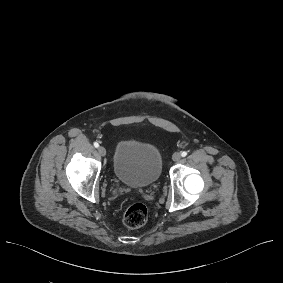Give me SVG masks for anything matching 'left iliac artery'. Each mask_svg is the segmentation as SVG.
I'll use <instances>...</instances> for the list:
<instances>
[{"label":"left iliac artery","mask_w":283,"mask_h":283,"mask_svg":"<svg viewBox=\"0 0 283 283\" xmlns=\"http://www.w3.org/2000/svg\"><path fill=\"white\" fill-rule=\"evenodd\" d=\"M187 155V152L186 151H183L182 153H181V156L182 157H185Z\"/></svg>","instance_id":"44dca946"}]
</instances>
